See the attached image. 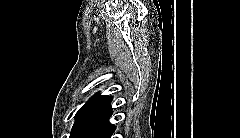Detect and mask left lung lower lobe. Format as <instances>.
Returning a JSON list of instances; mask_svg holds the SVG:
<instances>
[{"instance_id":"1","label":"left lung lower lobe","mask_w":240,"mask_h":138,"mask_svg":"<svg viewBox=\"0 0 240 138\" xmlns=\"http://www.w3.org/2000/svg\"><path fill=\"white\" fill-rule=\"evenodd\" d=\"M111 101H108L90 120L78 138H110L116 127L109 123L112 115Z\"/></svg>"}]
</instances>
